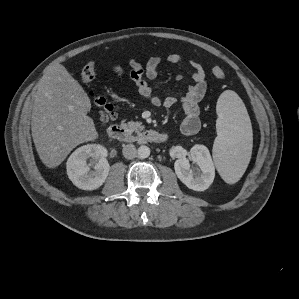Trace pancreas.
I'll use <instances>...</instances> for the list:
<instances>
[{
    "label": "pancreas",
    "instance_id": "1",
    "mask_svg": "<svg viewBox=\"0 0 299 299\" xmlns=\"http://www.w3.org/2000/svg\"><path fill=\"white\" fill-rule=\"evenodd\" d=\"M121 125L129 132H136V133H140L141 131H143L145 129V126L142 124V122H134V121H129L128 123H125V121L123 120L121 122Z\"/></svg>",
    "mask_w": 299,
    "mask_h": 299
}]
</instances>
